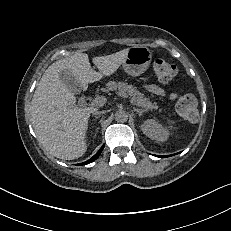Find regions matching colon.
<instances>
[{
  "instance_id": "obj_1",
  "label": "colon",
  "mask_w": 231,
  "mask_h": 231,
  "mask_svg": "<svg viewBox=\"0 0 231 231\" xmlns=\"http://www.w3.org/2000/svg\"><path fill=\"white\" fill-rule=\"evenodd\" d=\"M153 69L156 78L163 83L171 81L178 73V68L175 64L163 59L155 60ZM174 98L176 99V110L181 117L189 121L197 118V100L192 94L181 92L175 94Z\"/></svg>"
}]
</instances>
